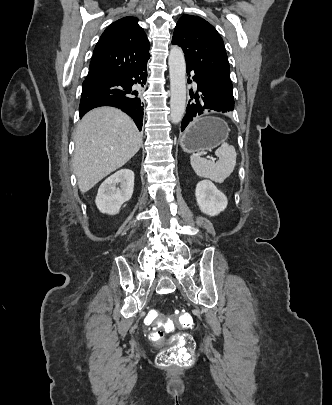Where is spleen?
<instances>
[{"label":"spleen","instance_id":"1","mask_svg":"<svg viewBox=\"0 0 332 405\" xmlns=\"http://www.w3.org/2000/svg\"><path fill=\"white\" fill-rule=\"evenodd\" d=\"M215 155L219 158L217 162L193 154L190 157L191 166L197 176L223 183L235 168L237 154L235 148L225 142L215 151Z\"/></svg>","mask_w":332,"mask_h":405}]
</instances>
